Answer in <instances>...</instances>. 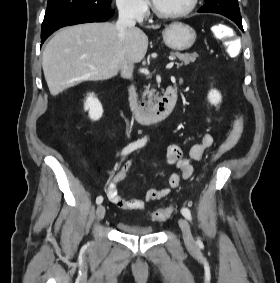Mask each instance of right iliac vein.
<instances>
[{"mask_svg":"<svg viewBox=\"0 0 280 283\" xmlns=\"http://www.w3.org/2000/svg\"><path fill=\"white\" fill-rule=\"evenodd\" d=\"M96 216L98 220H102L105 216V207L103 205H99L96 210Z\"/></svg>","mask_w":280,"mask_h":283,"instance_id":"obj_1","label":"right iliac vein"}]
</instances>
